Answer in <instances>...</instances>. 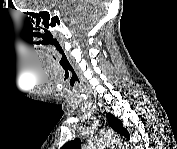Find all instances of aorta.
<instances>
[{"label":"aorta","instance_id":"aorta-1","mask_svg":"<svg viewBox=\"0 0 177 149\" xmlns=\"http://www.w3.org/2000/svg\"><path fill=\"white\" fill-rule=\"evenodd\" d=\"M111 141V136L101 135L94 138L91 142L85 145V149H104ZM114 141V140H113Z\"/></svg>","mask_w":177,"mask_h":149}]
</instances>
